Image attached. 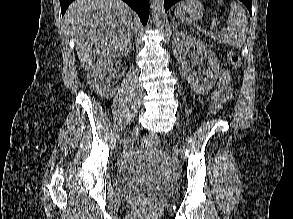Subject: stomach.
<instances>
[{"label": "stomach", "instance_id": "obj_1", "mask_svg": "<svg viewBox=\"0 0 293 219\" xmlns=\"http://www.w3.org/2000/svg\"><path fill=\"white\" fill-rule=\"evenodd\" d=\"M203 13L204 7L199 0H184L175 9V16L183 21L198 20Z\"/></svg>", "mask_w": 293, "mask_h": 219}]
</instances>
